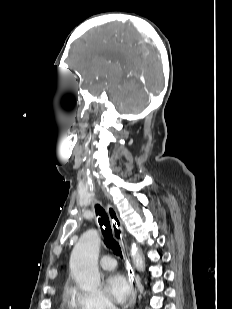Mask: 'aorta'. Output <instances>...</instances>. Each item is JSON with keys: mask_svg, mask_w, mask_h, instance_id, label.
Segmentation results:
<instances>
[{"mask_svg": "<svg viewBox=\"0 0 232 309\" xmlns=\"http://www.w3.org/2000/svg\"><path fill=\"white\" fill-rule=\"evenodd\" d=\"M100 242L98 232L88 230L80 237L72 251L70 258L71 275L83 290H93L100 285L101 279L98 268ZM131 257L135 267L139 271H144L145 259L135 244L131 249Z\"/></svg>", "mask_w": 232, "mask_h": 309, "instance_id": "obj_1", "label": "aorta"}]
</instances>
